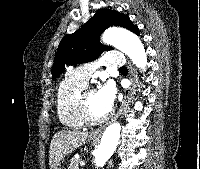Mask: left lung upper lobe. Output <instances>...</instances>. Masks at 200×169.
Segmentation results:
<instances>
[{"mask_svg": "<svg viewBox=\"0 0 200 169\" xmlns=\"http://www.w3.org/2000/svg\"><path fill=\"white\" fill-rule=\"evenodd\" d=\"M111 26L124 27L139 35L138 27L128 16L114 10H99L79 30L61 40L51 70L53 78L64 71L65 64L76 65L92 61L103 51L112 50V47L102 45L99 41L102 32Z\"/></svg>", "mask_w": 200, "mask_h": 169, "instance_id": "left-lung-upper-lobe-1", "label": "left lung upper lobe"}]
</instances>
